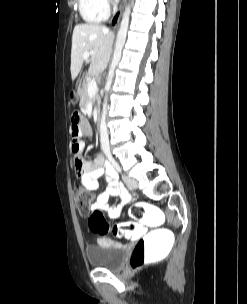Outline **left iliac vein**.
<instances>
[{
    "label": "left iliac vein",
    "instance_id": "1",
    "mask_svg": "<svg viewBox=\"0 0 247 304\" xmlns=\"http://www.w3.org/2000/svg\"><path fill=\"white\" fill-rule=\"evenodd\" d=\"M122 179L129 188L136 189L138 187V182L135 178L128 175H122Z\"/></svg>",
    "mask_w": 247,
    "mask_h": 304
}]
</instances>
